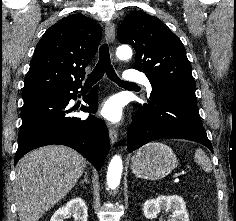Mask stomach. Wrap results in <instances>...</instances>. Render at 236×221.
<instances>
[{"instance_id":"stomach-1","label":"stomach","mask_w":236,"mask_h":221,"mask_svg":"<svg viewBox=\"0 0 236 221\" xmlns=\"http://www.w3.org/2000/svg\"><path fill=\"white\" fill-rule=\"evenodd\" d=\"M177 165L173 150L160 142H153L138 149L131 159L132 172L146 180H159Z\"/></svg>"}]
</instances>
